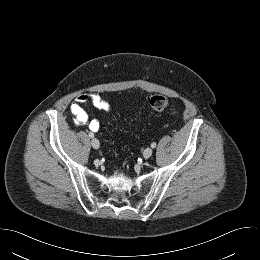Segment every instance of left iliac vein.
Masks as SVG:
<instances>
[{
	"label": "left iliac vein",
	"mask_w": 260,
	"mask_h": 260,
	"mask_svg": "<svg viewBox=\"0 0 260 260\" xmlns=\"http://www.w3.org/2000/svg\"><path fill=\"white\" fill-rule=\"evenodd\" d=\"M152 153H153V150H152V148L149 147L144 150L143 156L145 159H147L152 155Z\"/></svg>",
	"instance_id": "4c4485c4"
}]
</instances>
